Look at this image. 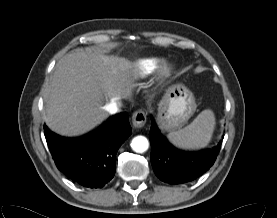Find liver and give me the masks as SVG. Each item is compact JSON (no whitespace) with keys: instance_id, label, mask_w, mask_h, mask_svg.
I'll return each instance as SVG.
<instances>
[{"instance_id":"1","label":"liver","mask_w":277,"mask_h":218,"mask_svg":"<svg viewBox=\"0 0 277 218\" xmlns=\"http://www.w3.org/2000/svg\"><path fill=\"white\" fill-rule=\"evenodd\" d=\"M132 64L92 49H76L56 65L47 88L45 121L58 134L77 136L101 124L106 104L131 96Z\"/></svg>"}]
</instances>
